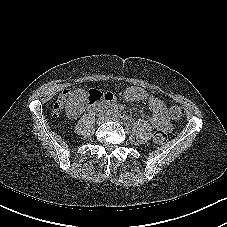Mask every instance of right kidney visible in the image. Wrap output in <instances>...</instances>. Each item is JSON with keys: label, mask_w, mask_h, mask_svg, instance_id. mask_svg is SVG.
<instances>
[{"label": "right kidney", "mask_w": 227, "mask_h": 227, "mask_svg": "<svg viewBox=\"0 0 227 227\" xmlns=\"http://www.w3.org/2000/svg\"><path fill=\"white\" fill-rule=\"evenodd\" d=\"M79 99L76 97H71L68 102V106L66 109V114L70 118H74L79 114Z\"/></svg>", "instance_id": "obj_1"}]
</instances>
